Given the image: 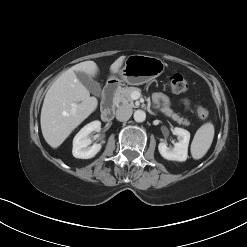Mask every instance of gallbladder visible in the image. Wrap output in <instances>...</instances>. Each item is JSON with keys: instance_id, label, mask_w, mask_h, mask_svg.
Masks as SVG:
<instances>
[{"instance_id": "1", "label": "gallbladder", "mask_w": 247, "mask_h": 247, "mask_svg": "<svg viewBox=\"0 0 247 247\" xmlns=\"http://www.w3.org/2000/svg\"><path fill=\"white\" fill-rule=\"evenodd\" d=\"M77 78L88 89V91L96 96L101 94V86L94 81L88 74L84 72H77Z\"/></svg>"}]
</instances>
